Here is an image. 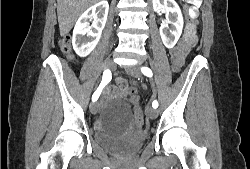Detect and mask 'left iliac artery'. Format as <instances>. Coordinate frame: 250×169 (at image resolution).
Returning a JSON list of instances; mask_svg holds the SVG:
<instances>
[{
	"instance_id": "1",
	"label": "left iliac artery",
	"mask_w": 250,
	"mask_h": 169,
	"mask_svg": "<svg viewBox=\"0 0 250 169\" xmlns=\"http://www.w3.org/2000/svg\"><path fill=\"white\" fill-rule=\"evenodd\" d=\"M141 72H142L145 76H147V77H152V75H153L151 69L148 68V67H142V68H141ZM152 107L155 108V109L158 107V102H157L156 100L153 101Z\"/></svg>"
}]
</instances>
